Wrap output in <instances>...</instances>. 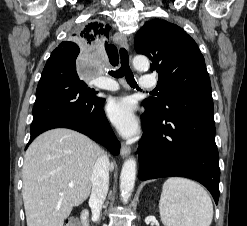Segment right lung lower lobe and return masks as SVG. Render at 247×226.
I'll list each match as a JSON object with an SVG mask.
<instances>
[{
	"label": "right lung lower lobe",
	"mask_w": 247,
	"mask_h": 226,
	"mask_svg": "<svg viewBox=\"0 0 247 226\" xmlns=\"http://www.w3.org/2000/svg\"><path fill=\"white\" fill-rule=\"evenodd\" d=\"M79 51L57 47L48 59L36 91L27 147L44 131L70 128L103 144L117 155L120 143L105 116L104 99L98 98L97 92L88 89L77 75L75 61Z\"/></svg>",
	"instance_id": "right-lung-lower-lobe-1"
}]
</instances>
